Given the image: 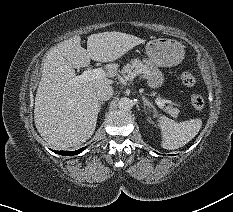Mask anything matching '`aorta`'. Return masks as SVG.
<instances>
[{"mask_svg":"<svg viewBox=\"0 0 233 212\" xmlns=\"http://www.w3.org/2000/svg\"><path fill=\"white\" fill-rule=\"evenodd\" d=\"M133 106L132 100L127 97H122L118 102L120 110L129 111Z\"/></svg>","mask_w":233,"mask_h":212,"instance_id":"obj_1","label":"aorta"}]
</instances>
